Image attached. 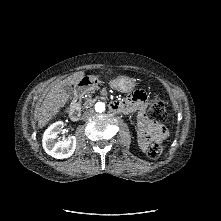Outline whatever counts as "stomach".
Segmentation results:
<instances>
[{
  "instance_id": "1",
  "label": "stomach",
  "mask_w": 221,
  "mask_h": 221,
  "mask_svg": "<svg viewBox=\"0 0 221 221\" xmlns=\"http://www.w3.org/2000/svg\"><path fill=\"white\" fill-rule=\"evenodd\" d=\"M96 77L95 76H88V80L90 82H95L96 81ZM83 80V79H82ZM81 80V81H82ZM80 81V82H81ZM110 85L122 92L125 93H130L134 90L135 86H136V82L134 79L127 77V76H119L113 80H111Z\"/></svg>"
}]
</instances>
